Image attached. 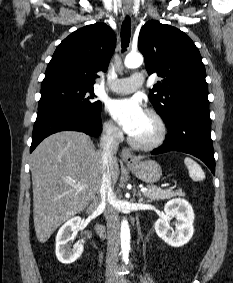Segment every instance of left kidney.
<instances>
[{"label":"left kidney","instance_id":"5707ae66","mask_svg":"<svg viewBox=\"0 0 233 283\" xmlns=\"http://www.w3.org/2000/svg\"><path fill=\"white\" fill-rule=\"evenodd\" d=\"M194 211L184 199L169 201L164 207V214L155 223L157 235L172 247L184 246L194 233ZM175 218V231L170 232L169 222Z\"/></svg>","mask_w":233,"mask_h":283}]
</instances>
